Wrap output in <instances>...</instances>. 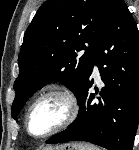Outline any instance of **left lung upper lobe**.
Instances as JSON below:
<instances>
[{
  "label": "left lung upper lobe",
  "instance_id": "left-lung-upper-lobe-1",
  "mask_svg": "<svg viewBox=\"0 0 139 150\" xmlns=\"http://www.w3.org/2000/svg\"><path fill=\"white\" fill-rule=\"evenodd\" d=\"M115 1L47 0L41 5L18 57L14 119L32 94L50 82L59 81L76 96L80 93Z\"/></svg>",
  "mask_w": 139,
  "mask_h": 150
}]
</instances>
